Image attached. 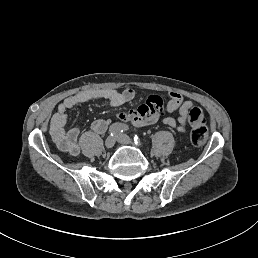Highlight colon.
Returning <instances> with one entry per match:
<instances>
[{"label": "colon", "instance_id": "5ec220e1", "mask_svg": "<svg viewBox=\"0 0 258 258\" xmlns=\"http://www.w3.org/2000/svg\"><path fill=\"white\" fill-rule=\"evenodd\" d=\"M208 132L204 125H196L190 133V141L194 146H201L206 143Z\"/></svg>", "mask_w": 258, "mask_h": 258}]
</instances>
